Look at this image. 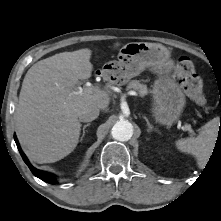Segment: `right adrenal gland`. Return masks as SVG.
<instances>
[{
    "mask_svg": "<svg viewBox=\"0 0 221 221\" xmlns=\"http://www.w3.org/2000/svg\"><path fill=\"white\" fill-rule=\"evenodd\" d=\"M88 126H90V123H87L86 125L83 126V133H82V136H81L80 141L83 140V138H84V136H85V129H86Z\"/></svg>",
    "mask_w": 221,
    "mask_h": 221,
    "instance_id": "obj_1",
    "label": "right adrenal gland"
}]
</instances>
